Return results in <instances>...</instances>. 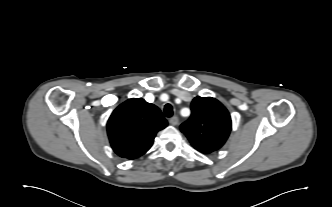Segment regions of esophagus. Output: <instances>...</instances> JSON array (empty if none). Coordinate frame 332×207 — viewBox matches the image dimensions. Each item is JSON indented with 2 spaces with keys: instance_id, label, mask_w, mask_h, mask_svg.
Masks as SVG:
<instances>
[{
  "instance_id": "34e87169",
  "label": "esophagus",
  "mask_w": 332,
  "mask_h": 207,
  "mask_svg": "<svg viewBox=\"0 0 332 207\" xmlns=\"http://www.w3.org/2000/svg\"><path fill=\"white\" fill-rule=\"evenodd\" d=\"M169 123H170L171 125H173V126H176V125H178L179 120H178V118H177L176 116H174V117H171V118L169 119Z\"/></svg>"
}]
</instances>
